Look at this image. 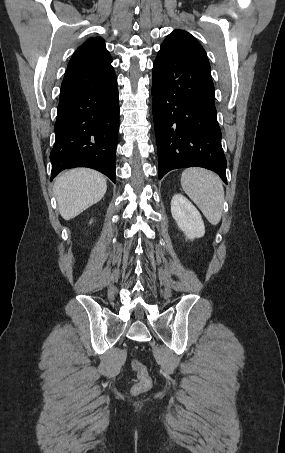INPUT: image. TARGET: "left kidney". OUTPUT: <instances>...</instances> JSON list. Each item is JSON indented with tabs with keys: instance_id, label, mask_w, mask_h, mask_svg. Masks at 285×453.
Returning <instances> with one entry per match:
<instances>
[{
	"instance_id": "5707ae66",
	"label": "left kidney",
	"mask_w": 285,
	"mask_h": 453,
	"mask_svg": "<svg viewBox=\"0 0 285 453\" xmlns=\"http://www.w3.org/2000/svg\"><path fill=\"white\" fill-rule=\"evenodd\" d=\"M171 214L179 229L187 239L201 238L205 234V226L201 214L195 206L182 194H175L171 200Z\"/></svg>"
}]
</instances>
